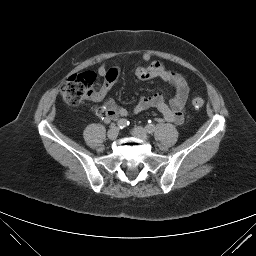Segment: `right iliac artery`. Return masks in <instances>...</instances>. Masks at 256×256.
Here are the masks:
<instances>
[{"instance_id": "right-iliac-artery-1", "label": "right iliac artery", "mask_w": 256, "mask_h": 256, "mask_svg": "<svg viewBox=\"0 0 256 256\" xmlns=\"http://www.w3.org/2000/svg\"><path fill=\"white\" fill-rule=\"evenodd\" d=\"M117 125L120 129H123L129 125V121H127L126 119H120L117 121Z\"/></svg>"}]
</instances>
